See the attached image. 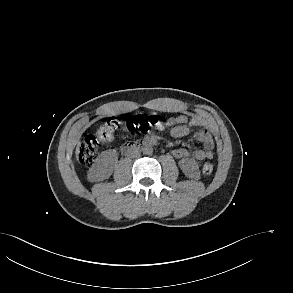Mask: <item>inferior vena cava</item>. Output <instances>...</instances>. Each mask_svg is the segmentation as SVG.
Instances as JSON below:
<instances>
[{
    "label": "inferior vena cava",
    "instance_id": "obj_1",
    "mask_svg": "<svg viewBox=\"0 0 293 293\" xmlns=\"http://www.w3.org/2000/svg\"><path fill=\"white\" fill-rule=\"evenodd\" d=\"M141 153V150L137 147H133L128 151V156L131 158H135L137 156H139Z\"/></svg>",
    "mask_w": 293,
    "mask_h": 293
}]
</instances>
